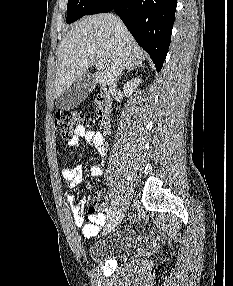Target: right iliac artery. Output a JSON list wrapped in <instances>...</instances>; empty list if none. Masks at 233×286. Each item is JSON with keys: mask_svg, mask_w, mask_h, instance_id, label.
I'll return each mask as SVG.
<instances>
[{"mask_svg": "<svg viewBox=\"0 0 233 286\" xmlns=\"http://www.w3.org/2000/svg\"><path fill=\"white\" fill-rule=\"evenodd\" d=\"M117 204L118 203L114 202L109 208L108 216L110 219H112L117 212Z\"/></svg>", "mask_w": 233, "mask_h": 286, "instance_id": "82829eb1", "label": "right iliac artery"}]
</instances>
